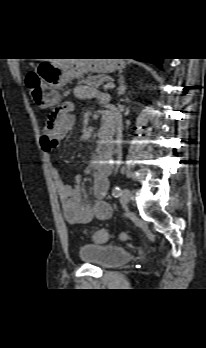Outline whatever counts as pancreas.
I'll use <instances>...</instances> for the list:
<instances>
[{"instance_id": "obj_1", "label": "pancreas", "mask_w": 206, "mask_h": 348, "mask_svg": "<svg viewBox=\"0 0 206 348\" xmlns=\"http://www.w3.org/2000/svg\"><path fill=\"white\" fill-rule=\"evenodd\" d=\"M106 79L105 75H90L81 81V84H86L92 88H97Z\"/></svg>"}]
</instances>
